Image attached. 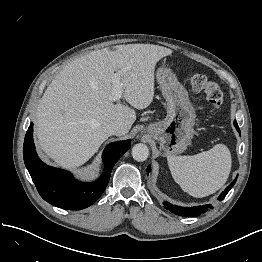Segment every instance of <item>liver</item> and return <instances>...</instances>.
<instances>
[{"instance_id":"liver-1","label":"liver","mask_w":262,"mask_h":262,"mask_svg":"<svg viewBox=\"0 0 262 262\" xmlns=\"http://www.w3.org/2000/svg\"><path fill=\"white\" fill-rule=\"evenodd\" d=\"M172 50L153 44L118 45L115 50L93 51L66 65L47 87L35 114L39 147L63 168L75 169L87 162L108 139V124L129 132L135 109H145L154 97L157 62ZM122 98L111 99L115 71Z\"/></svg>"}]
</instances>
